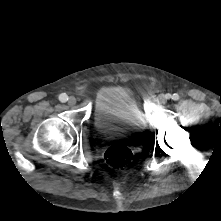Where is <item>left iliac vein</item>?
<instances>
[{
	"label": "left iliac vein",
	"mask_w": 221,
	"mask_h": 221,
	"mask_svg": "<svg viewBox=\"0 0 221 221\" xmlns=\"http://www.w3.org/2000/svg\"><path fill=\"white\" fill-rule=\"evenodd\" d=\"M166 100H167V96H166V95H161V96L159 97V101H160L161 103H165Z\"/></svg>",
	"instance_id": "left-iliac-vein-1"
}]
</instances>
